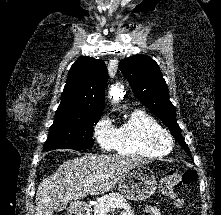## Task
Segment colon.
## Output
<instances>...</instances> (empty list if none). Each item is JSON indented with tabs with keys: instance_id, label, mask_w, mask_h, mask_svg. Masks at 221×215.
<instances>
[{
	"instance_id": "colon-1",
	"label": "colon",
	"mask_w": 221,
	"mask_h": 215,
	"mask_svg": "<svg viewBox=\"0 0 221 215\" xmlns=\"http://www.w3.org/2000/svg\"><path fill=\"white\" fill-rule=\"evenodd\" d=\"M195 179L196 172L191 168L185 169L181 172L169 170L161 179L159 190L162 195L173 200L176 207L181 208L183 207L184 202L177 196L175 190L181 185L191 184Z\"/></svg>"
}]
</instances>
